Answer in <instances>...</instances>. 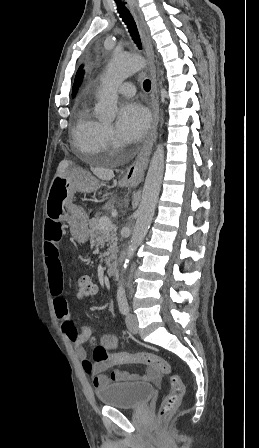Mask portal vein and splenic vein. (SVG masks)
<instances>
[{
	"label": "portal vein and splenic vein",
	"instance_id": "obj_1",
	"mask_svg": "<svg viewBox=\"0 0 259 448\" xmlns=\"http://www.w3.org/2000/svg\"><path fill=\"white\" fill-rule=\"evenodd\" d=\"M98 226H100V230H108L111 226V222L107 216H104V218H100Z\"/></svg>",
	"mask_w": 259,
	"mask_h": 448
}]
</instances>
